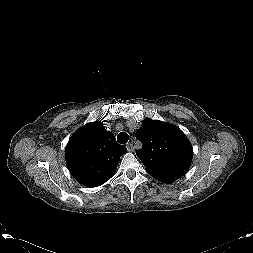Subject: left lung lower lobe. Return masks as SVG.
I'll return each mask as SVG.
<instances>
[{"label":"left lung lower lobe","instance_id":"0a47b994","mask_svg":"<svg viewBox=\"0 0 253 253\" xmlns=\"http://www.w3.org/2000/svg\"><path fill=\"white\" fill-rule=\"evenodd\" d=\"M150 175L153 178H155L158 181L163 182V183H171V182L175 181L176 179L182 177V176H175L172 174L160 173V172L150 173Z\"/></svg>","mask_w":253,"mask_h":253}]
</instances>
